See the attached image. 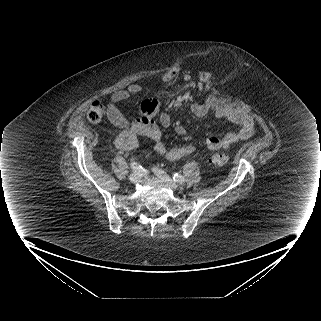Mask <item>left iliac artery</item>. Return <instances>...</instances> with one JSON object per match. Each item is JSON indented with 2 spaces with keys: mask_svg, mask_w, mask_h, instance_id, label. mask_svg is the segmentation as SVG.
<instances>
[{
  "mask_svg": "<svg viewBox=\"0 0 321 321\" xmlns=\"http://www.w3.org/2000/svg\"><path fill=\"white\" fill-rule=\"evenodd\" d=\"M173 180L175 182L180 183V184H184L185 183V178L182 175L178 174V173H175L173 175Z\"/></svg>",
  "mask_w": 321,
  "mask_h": 321,
  "instance_id": "left-iliac-artery-1",
  "label": "left iliac artery"
}]
</instances>
